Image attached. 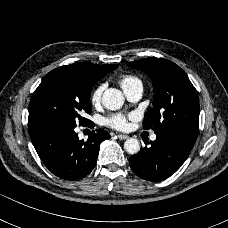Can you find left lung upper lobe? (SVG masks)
<instances>
[{
	"instance_id": "1",
	"label": "left lung upper lobe",
	"mask_w": 228,
	"mask_h": 228,
	"mask_svg": "<svg viewBox=\"0 0 228 228\" xmlns=\"http://www.w3.org/2000/svg\"><path fill=\"white\" fill-rule=\"evenodd\" d=\"M128 65L145 72L153 82V108L144 116V129H152L156 134L177 133L197 139L199 99L186 73L163 58L150 57Z\"/></svg>"
}]
</instances>
